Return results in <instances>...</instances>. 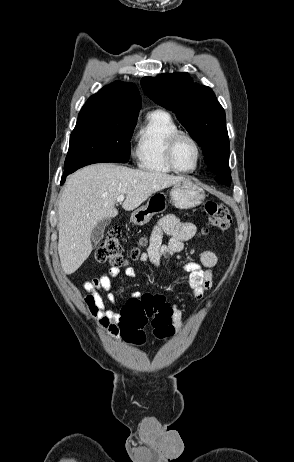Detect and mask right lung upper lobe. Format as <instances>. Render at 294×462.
I'll list each match as a JSON object with an SVG mask.
<instances>
[{"mask_svg":"<svg viewBox=\"0 0 294 462\" xmlns=\"http://www.w3.org/2000/svg\"><path fill=\"white\" fill-rule=\"evenodd\" d=\"M141 97L132 83L115 81L89 98L81 112H110L122 115H138Z\"/></svg>","mask_w":294,"mask_h":462,"instance_id":"cb5924a9","label":"right lung upper lobe"}]
</instances>
